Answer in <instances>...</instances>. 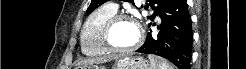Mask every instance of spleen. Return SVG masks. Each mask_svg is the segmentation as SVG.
Listing matches in <instances>:
<instances>
[{"instance_id": "spleen-1", "label": "spleen", "mask_w": 246, "mask_h": 69, "mask_svg": "<svg viewBox=\"0 0 246 69\" xmlns=\"http://www.w3.org/2000/svg\"><path fill=\"white\" fill-rule=\"evenodd\" d=\"M150 60V68L151 69H174V66L170 65L165 59L148 55Z\"/></svg>"}]
</instances>
